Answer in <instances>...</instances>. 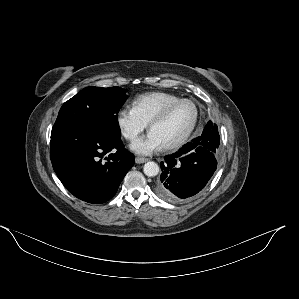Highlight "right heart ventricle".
I'll return each instance as SVG.
<instances>
[{
  "instance_id": "1",
  "label": "right heart ventricle",
  "mask_w": 299,
  "mask_h": 299,
  "mask_svg": "<svg viewBox=\"0 0 299 299\" xmlns=\"http://www.w3.org/2000/svg\"><path fill=\"white\" fill-rule=\"evenodd\" d=\"M178 99L179 96L166 92L145 93L132 101V109L146 124H149L166 105Z\"/></svg>"
}]
</instances>
